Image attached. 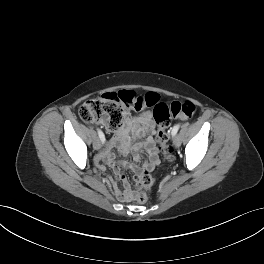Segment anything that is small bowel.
I'll return each mask as SVG.
<instances>
[{"instance_id":"c3829d8e","label":"small bowel","mask_w":264,"mask_h":264,"mask_svg":"<svg viewBox=\"0 0 264 264\" xmlns=\"http://www.w3.org/2000/svg\"><path fill=\"white\" fill-rule=\"evenodd\" d=\"M154 131L155 122L152 113L150 111H143L136 116L127 118L125 125L115 133L114 137L109 142L108 147L99 154L97 162L108 164L113 169L115 175L123 183V186L120 187L116 181L112 182L114 193L119 200L129 201L132 199L133 193L125 175L121 172L120 165L115 161L111 148L117 145L122 154H128L131 152L135 161L139 160V153L144 149L148 154V161L143 167H140L135 163L127 162H124L121 165L138 174L143 170H152L159 163ZM131 135L135 138L143 137L145 135L147 136L143 141L133 142L131 140Z\"/></svg>"}]
</instances>
